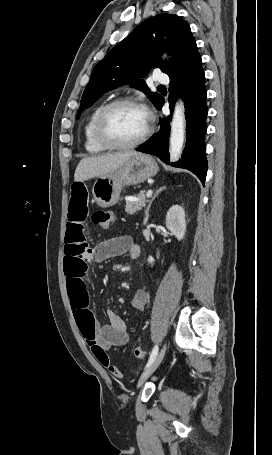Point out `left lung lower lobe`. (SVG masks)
Returning a JSON list of instances; mask_svg holds the SVG:
<instances>
[{"mask_svg":"<svg viewBox=\"0 0 272 455\" xmlns=\"http://www.w3.org/2000/svg\"><path fill=\"white\" fill-rule=\"evenodd\" d=\"M170 77L168 101L171 113L180 93L184 100L186 116V145L180 161L171 163L174 167L185 168L192 171L204 184L207 174L206 146L204 136L207 131L206 116L208 109L206 106L205 75L202 69L201 57L191 62L181 71L172 74ZM164 104L162 98L156 107L161 109ZM171 117L160 119L159 132L151 137L137 151L148 153L160 158L164 163L169 162V135Z\"/></svg>","mask_w":272,"mask_h":455,"instance_id":"obj_1","label":"left lung lower lobe"}]
</instances>
